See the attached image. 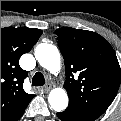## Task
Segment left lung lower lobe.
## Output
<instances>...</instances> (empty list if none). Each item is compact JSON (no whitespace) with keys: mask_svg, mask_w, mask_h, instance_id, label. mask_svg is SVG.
<instances>
[{"mask_svg":"<svg viewBox=\"0 0 121 121\" xmlns=\"http://www.w3.org/2000/svg\"><path fill=\"white\" fill-rule=\"evenodd\" d=\"M57 116L62 121H93L91 119L80 117V116L74 115L72 113H69L66 110L64 112L57 113Z\"/></svg>","mask_w":121,"mask_h":121,"instance_id":"1","label":"left lung lower lobe"}]
</instances>
